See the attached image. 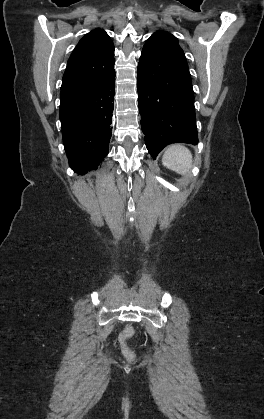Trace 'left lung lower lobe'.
I'll list each match as a JSON object with an SVG mask.
<instances>
[{"label": "left lung lower lobe", "mask_w": 264, "mask_h": 419, "mask_svg": "<svg viewBox=\"0 0 264 419\" xmlns=\"http://www.w3.org/2000/svg\"><path fill=\"white\" fill-rule=\"evenodd\" d=\"M141 128L155 159L168 144L198 143L194 92L182 49L169 34H153L138 64Z\"/></svg>", "instance_id": "1"}]
</instances>
